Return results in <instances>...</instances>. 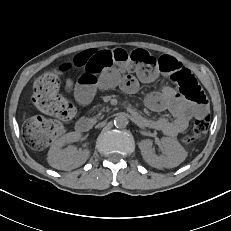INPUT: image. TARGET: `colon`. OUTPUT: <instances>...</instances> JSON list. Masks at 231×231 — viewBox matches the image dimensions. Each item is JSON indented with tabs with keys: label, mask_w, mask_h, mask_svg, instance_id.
Segmentation results:
<instances>
[{
	"label": "colon",
	"mask_w": 231,
	"mask_h": 231,
	"mask_svg": "<svg viewBox=\"0 0 231 231\" xmlns=\"http://www.w3.org/2000/svg\"><path fill=\"white\" fill-rule=\"evenodd\" d=\"M141 50L131 51L129 59L137 60ZM65 69L55 67L42 74L34 83L32 103L46 116L33 117L27 124L25 137L30 147L36 150L49 146L61 134L63 123L74 115V106L58 93L61 75ZM177 83L181 93L186 97L206 103L205 95L200 91L193 75L183 71L177 72L172 77ZM209 128V116L204 115L196 120L192 133L183 138L185 144H190L203 137Z\"/></svg>",
	"instance_id": "colon-1"
}]
</instances>
